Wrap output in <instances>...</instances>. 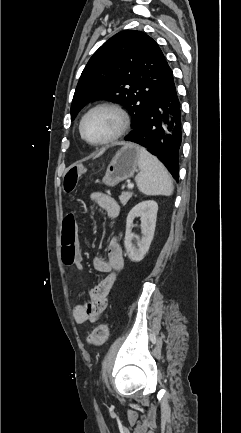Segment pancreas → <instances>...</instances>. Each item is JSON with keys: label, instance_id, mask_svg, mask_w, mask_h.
I'll return each mask as SVG.
<instances>
[{"label": "pancreas", "instance_id": "1", "mask_svg": "<svg viewBox=\"0 0 241 433\" xmlns=\"http://www.w3.org/2000/svg\"><path fill=\"white\" fill-rule=\"evenodd\" d=\"M131 197V192H122L121 196L119 197L120 203L125 206Z\"/></svg>", "mask_w": 241, "mask_h": 433}]
</instances>
